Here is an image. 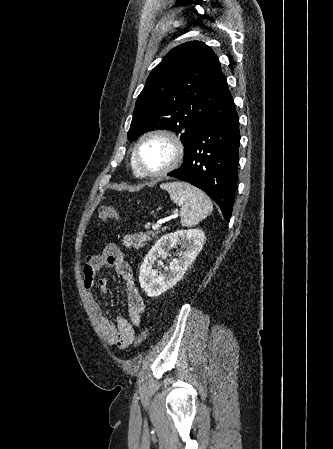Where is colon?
Instances as JSON below:
<instances>
[{
  "mask_svg": "<svg viewBox=\"0 0 333 449\" xmlns=\"http://www.w3.org/2000/svg\"><path fill=\"white\" fill-rule=\"evenodd\" d=\"M98 215H99V218L103 221L118 220V218H119L117 211L111 206L101 207L98 211ZM153 325H154V321L152 319H150L147 322L146 327L138 335V337L136 339L137 345H141L145 342V340L147 339L148 333H149L150 329L153 327Z\"/></svg>",
  "mask_w": 333,
  "mask_h": 449,
  "instance_id": "colon-1",
  "label": "colon"
}]
</instances>
